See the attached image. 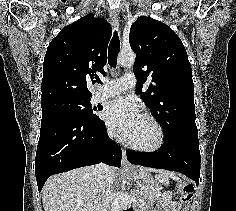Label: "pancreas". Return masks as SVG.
<instances>
[{
	"label": "pancreas",
	"mask_w": 236,
	"mask_h": 211,
	"mask_svg": "<svg viewBox=\"0 0 236 211\" xmlns=\"http://www.w3.org/2000/svg\"><path fill=\"white\" fill-rule=\"evenodd\" d=\"M132 197L134 198L133 205L135 211H147L150 208V205L144 200L143 195L139 191L133 192Z\"/></svg>",
	"instance_id": "1"
}]
</instances>
